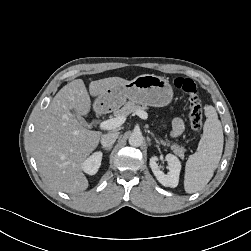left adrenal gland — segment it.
I'll use <instances>...</instances> for the list:
<instances>
[{
    "instance_id": "1",
    "label": "left adrenal gland",
    "mask_w": 251,
    "mask_h": 251,
    "mask_svg": "<svg viewBox=\"0 0 251 251\" xmlns=\"http://www.w3.org/2000/svg\"><path fill=\"white\" fill-rule=\"evenodd\" d=\"M154 139V141L157 143V144H159V141L154 137L153 138ZM150 140V139H149Z\"/></svg>"
}]
</instances>
